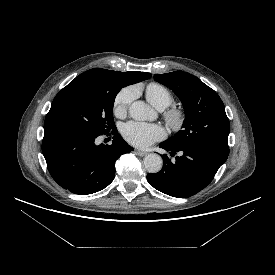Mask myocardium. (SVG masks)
<instances>
[{"instance_id":"myocardium-1","label":"myocardium","mask_w":275,"mask_h":275,"mask_svg":"<svg viewBox=\"0 0 275 275\" xmlns=\"http://www.w3.org/2000/svg\"><path fill=\"white\" fill-rule=\"evenodd\" d=\"M164 117L171 128L177 129L185 120V111L180 107L172 106L165 111Z\"/></svg>"}]
</instances>
